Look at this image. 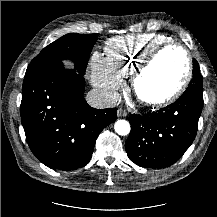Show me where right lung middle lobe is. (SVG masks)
Masks as SVG:
<instances>
[{
	"instance_id": "1",
	"label": "right lung middle lobe",
	"mask_w": 217,
	"mask_h": 217,
	"mask_svg": "<svg viewBox=\"0 0 217 217\" xmlns=\"http://www.w3.org/2000/svg\"><path fill=\"white\" fill-rule=\"evenodd\" d=\"M98 38L97 34H67L52 42L31 61L25 75L55 60L74 61L75 69L85 74L89 55Z\"/></svg>"
}]
</instances>
